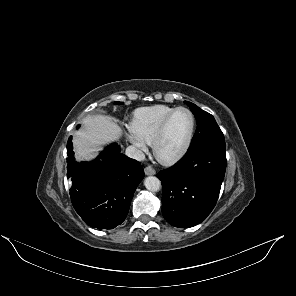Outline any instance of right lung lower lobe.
Returning a JSON list of instances; mask_svg holds the SVG:
<instances>
[{
	"label": "right lung lower lobe",
	"mask_w": 296,
	"mask_h": 296,
	"mask_svg": "<svg viewBox=\"0 0 296 296\" xmlns=\"http://www.w3.org/2000/svg\"><path fill=\"white\" fill-rule=\"evenodd\" d=\"M79 127V126H78ZM72 137L67 142V177L76 212L89 226L113 229L126 218L134 192L144 177L141 164L112 144L96 160L76 162Z\"/></svg>",
	"instance_id": "98d812e1"
}]
</instances>
